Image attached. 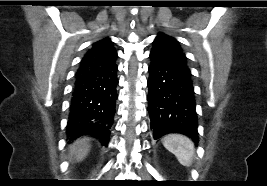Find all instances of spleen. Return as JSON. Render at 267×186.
I'll return each instance as SVG.
<instances>
[{
	"instance_id": "3e777b00",
	"label": "spleen",
	"mask_w": 267,
	"mask_h": 186,
	"mask_svg": "<svg viewBox=\"0 0 267 186\" xmlns=\"http://www.w3.org/2000/svg\"><path fill=\"white\" fill-rule=\"evenodd\" d=\"M163 145L175 155L181 165L191 166L195 149L193 142L188 137L171 134L163 138Z\"/></svg>"
}]
</instances>
